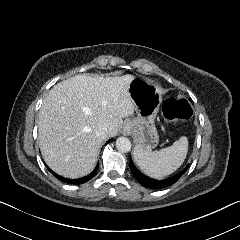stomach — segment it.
Wrapping results in <instances>:
<instances>
[{"instance_id":"stomach-1","label":"stomach","mask_w":240,"mask_h":240,"mask_svg":"<svg viewBox=\"0 0 240 240\" xmlns=\"http://www.w3.org/2000/svg\"><path fill=\"white\" fill-rule=\"evenodd\" d=\"M129 93L136 117L125 121L130 131L123 130V133L133 136L135 147L149 152L159 143L155 118L162 102V89L150 79L134 77L129 85Z\"/></svg>"}]
</instances>
